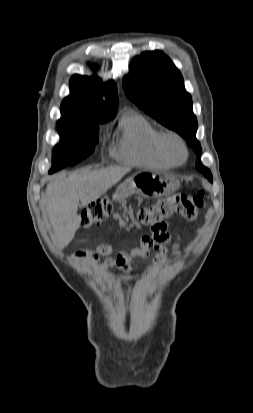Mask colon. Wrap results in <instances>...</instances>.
<instances>
[{
  "instance_id": "colon-1",
  "label": "colon",
  "mask_w": 253,
  "mask_h": 413,
  "mask_svg": "<svg viewBox=\"0 0 253 413\" xmlns=\"http://www.w3.org/2000/svg\"><path fill=\"white\" fill-rule=\"evenodd\" d=\"M204 192L197 190L194 195L186 193L176 194L158 200L155 204L141 206L137 210L138 221L145 226L157 229L173 215H180L186 220H193L204 205ZM113 212V204L109 198L95 201L86 208L81 215L82 228L98 225Z\"/></svg>"
}]
</instances>
